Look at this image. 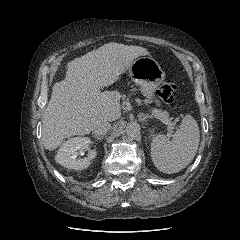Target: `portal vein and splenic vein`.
<instances>
[{"label": "portal vein and splenic vein", "instance_id": "18ae733b", "mask_svg": "<svg viewBox=\"0 0 240 240\" xmlns=\"http://www.w3.org/2000/svg\"><path fill=\"white\" fill-rule=\"evenodd\" d=\"M153 113L155 114L156 112L154 111ZM161 121L168 125L169 130L173 129V125H172L171 121H168L165 119H162Z\"/></svg>", "mask_w": 240, "mask_h": 240}]
</instances>
